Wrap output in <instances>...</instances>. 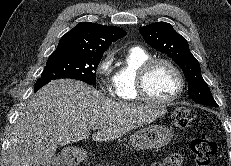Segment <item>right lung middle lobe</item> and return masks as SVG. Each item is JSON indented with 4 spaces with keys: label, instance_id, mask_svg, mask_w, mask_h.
Returning a JSON list of instances; mask_svg holds the SVG:
<instances>
[{
    "label": "right lung middle lobe",
    "instance_id": "1",
    "mask_svg": "<svg viewBox=\"0 0 231 166\" xmlns=\"http://www.w3.org/2000/svg\"><path fill=\"white\" fill-rule=\"evenodd\" d=\"M102 55L80 53L73 50H55L48 58L41 74L45 79L70 78L96 84V69Z\"/></svg>",
    "mask_w": 231,
    "mask_h": 166
}]
</instances>
